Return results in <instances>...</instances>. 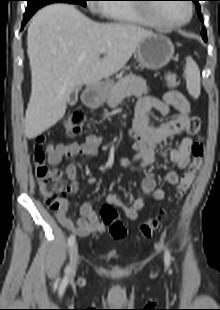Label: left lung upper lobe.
I'll return each mask as SVG.
<instances>
[{"mask_svg": "<svg viewBox=\"0 0 220 310\" xmlns=\"http://www.w3.org/2000/svg\"><path fill=\"white\" fill-rule=\"evenodd\" d=\"M192 1L194 3H196V9H197L198 15H199L200 18H202V15L200 13V6H199V3H198L199 0H192ZM202 36H203L204 40L207 39L206 30L204 28L202 29Z\"/></svg>", "mask_w": 220, "mask_h": 310, "instance_id": "obj_1", "label": "left lung upper lobe"}]
</instances>
